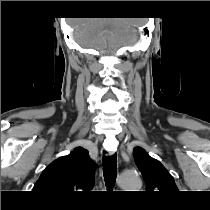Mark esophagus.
<instances>
[{"label":"esophagus","instance_id":"1","mask_svg":"<svg viewBox=\"0 0 210 210\" xmlns=\"http://www.w3.org/2000/svg\"><path fill=\"white\" fill-rule=\"evenodd\" d=\"M114 153H115L114 150L109 149L107 145H104L103 148L101 149V155L103 157L113 156Z\"/></svg>","mask_w":210,"mask_h":210}]
</instances>
